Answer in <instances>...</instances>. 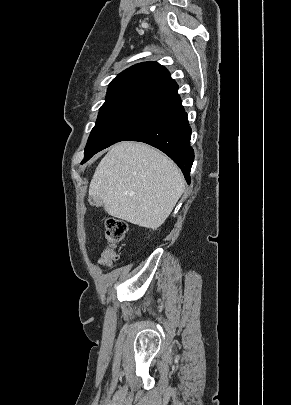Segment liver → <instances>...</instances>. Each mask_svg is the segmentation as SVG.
Wrapping results in <instances>:
<instances>
[{
    "label": "liver",
    "mask_w": 291,
    "mask_h": 405,
    "mask_svg": "<svg viewBox=\"0 0 291 405\" xmlns=\"http://www.w3.org/2000/svg\"><path fill=\"white\" fill-rule=\"evenodd\" d=\"M180 169L160 151L139 142L115 144L99 163L89 198L110 216L149 229L159 228L183 194Z\"/></svg>",
    "instance_id": "obj_1"
}]
</instances>
